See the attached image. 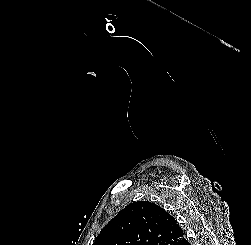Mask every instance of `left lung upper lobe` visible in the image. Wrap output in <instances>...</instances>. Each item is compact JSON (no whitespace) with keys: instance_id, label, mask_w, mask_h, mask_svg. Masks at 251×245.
<instances>
[{"instance_id":"left-lung-upper-lobe-1","label":"left lung upper lobe","mask_w":251,"mask_h":245,"mask_svg":"<svg viewBox=\"0 0 251 245\" xmlns=\"http://www.w3.org/2000/svg\"><path fill=\"white\" fill-rule=\"evenodd\" d=\"M184 237L183 229L163 208L137 201L122 209L93 245H176Z\"/></svg>"}]
</instances>
